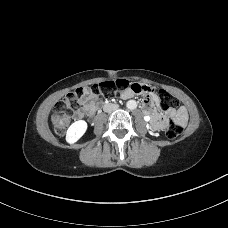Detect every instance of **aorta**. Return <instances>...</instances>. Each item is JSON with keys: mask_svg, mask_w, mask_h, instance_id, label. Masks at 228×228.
Returning a JSON list of instances; mask_svg holds the SVG:
<instances>
[{"mask_svg": "<svg viewBox=\"0 0 228 228\" xmlns=\"http://www.w3.org/2000/svg\"><path fill=\"white\" fill-rule=\"evenodd\" d=\"M126 106L128 109L134 110L137 108V102L135 100H129V101H127Z\"/></svg>", "mask_w": 228, "mask_h": 228, "instance_id": "1", "label": "aorta"}]
</instances>
